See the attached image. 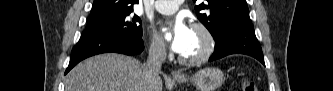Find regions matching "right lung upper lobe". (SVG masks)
<instances>
[{"label":"right lung upper lobe","instance_id":"obj_1","mask_svg":"<svg viewBox=\"0 0 333 91\" xmlns=\"http://www.w3.org/2000/svg\"><path fill=\"white\" fill-rule=\"evenodd\" d=\"M138 2L139 0H94L90 19L133 10V4Z\"/></svg>","mask_w":333,"mask_h":91}]
</instances>
